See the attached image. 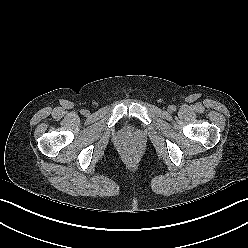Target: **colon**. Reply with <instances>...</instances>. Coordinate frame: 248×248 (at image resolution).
<instances>
[{"label":"colon","mask_w":248,"mask_h":248,"mask_svg":"<svg viewBox=\"0 0 248 248\" xmlns=\"http://www.w3.org/2000/svg\"><path fill=\"white\" fill-rule=\"evenodd\" d=\"M129 158H132V156H131V155H129Z\"/></svg>","instance_id":"obj_1"}]
</instances>
